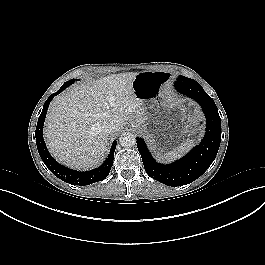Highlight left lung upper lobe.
I'll return each mask as SVG.
<instances>
[{"instance_id":"left-lung-upper-lobe-1","label":"left lung upper lobe","mask_w":265,"mask_h":265,"mask_svg":"<svg viewBox=\"0 0 265 265\" xmlns=\"http://www.w3.org/2000/svg\"><path fill=\"white\" fill-rule=\"evenodd\" d=\"M178 78H187V77H184V76H179Z\"/></svg>"}]
</instances>
